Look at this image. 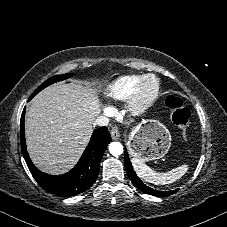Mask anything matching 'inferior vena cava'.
I'll list each match as a JSON object with an SVG mask.
<instances>
[{
	"instance_id": "inferior-vena-cava-1",
	"label": "inferior vena cava",
	"mask_w": 227,
	"mask_h": 227,
	"mask_svg": "<svg viewBox=\"0 0 227 227\" xmlns=\"http://www.w3.org/2000/svg\"><path fill=\"white\" fill-rule=\"evenodd\" d=\"M109 124V118L107 116L101 115L96 118L94 125L97 126H107Z\"/></svg>"
}]
</instances>
